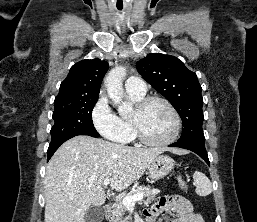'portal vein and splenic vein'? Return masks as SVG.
<instances>
[{
  "label": "portal vein and splenic vein",
  "mask_w": 257,
  "mask_h": 222,
  "mask_svg": "<svg viewBox=\"0 0 257 222\" xmlns=\"http://www.w3.org/2000/svg\"><path fill=\"white\" fill-rule=\"evenodd\" d=\"M110 179H105L103 181V186H108L110 184ZM143 193H137L135 195H127L122 199V203L127 207H134L135 202L141 201L143 199Z\"/></svg>",
  "instance_id": "18ae733b"
}]
</instances>
